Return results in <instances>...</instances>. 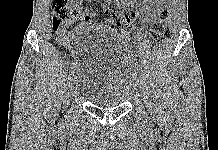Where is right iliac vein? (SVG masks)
<instances>
[{
  "mask_svg": "<svg viewBox=\"0 0 218 150\" xmlns=\"http://www.w3.org/2000/svg\"><path fill=\"white\" fill-rule=\"evenodd\" d=\"M72 83H71V91L73 95H76L78 93V80L76 75L72 76Z\"/></svg>",
  "mask_w": 218,
  "mask_h": 150,
  "instance_id": "obj_1",
  "label": "right iliac vein"
}]
</instances>
